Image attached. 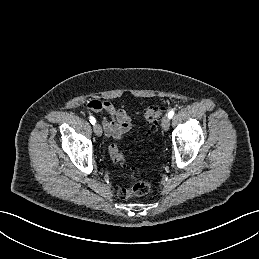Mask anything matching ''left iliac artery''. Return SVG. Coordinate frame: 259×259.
I'll return each instance as SVG.
<instances>
[{
    "mask_svg": "<svg viewBox=\"0 0 259 259\" xmlns=\"http://www.w3.org/2000/svg\"><path fill=\"white\" fill-rule=\"evenodd\" d=\"M175 114V111L174 110H170L169 113H168V117L171 119Z\"/></svg>",
    "mask_w": 259,
    "mask_h": 259,
    "instance_id": "1",
    "label": "left iliac artery"
}]
</instances>
